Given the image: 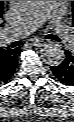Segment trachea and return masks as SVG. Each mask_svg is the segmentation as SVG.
I'll return each mask as SVG.
<instances>
[{"instance_id":"3493384b","label":"trachea","mask_w":74,"mask_h":122,"mask_svg":"<svg viewBox=\"0 0 74 122\" xmlns=\"http://www.w3.org/2000/svg\"><path fill=\"white\" fill-rule=\"evenodd\" d=\"M48 39H51V40H55V41L60 42V39H59L57 36L52 35V34L49 35V38H48ZM11 45H12V47L21 46V45H22V42H20V41H15V42H13Z\"/></svg>"}]
</instances>
